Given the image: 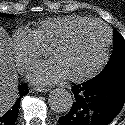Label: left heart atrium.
<instances>
[{"instance_id": "39dd6f15", "label": "left heart atrium", "mask_w": 125, "mask_h": 125, "mask_svg": "<svg viewBox=\"0 0 125 125\" xmlns=\"http://www.w3.org/2000/svg\"><path fill=\"white\" fill-rule=\"evenodd\" d=\"M67 77V72L56 58L35 64L28 73V79L40 86L58 83Z\"/></svg>"}]
</instances>
